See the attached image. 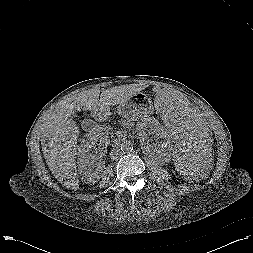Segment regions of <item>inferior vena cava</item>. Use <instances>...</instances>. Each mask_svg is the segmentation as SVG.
Returning a JSON list of instances; mask_svg holds the SVG:
<instances>
[{
	"instance_id": "1",
	"label": "inferior vena cava",
	"mask_w": 253,
	"mask_h": 253,
	"mask_svg": "<svg viewBox=\"0 0 253 253\" xmlns=\"http://www.w3.org/2000/svg\"><path fill=\"white\" fill-rule=\"evenodd\" d=\"M95 132H98V130L95 131ZM122 154H123V152H122V150L120 149L119 146H116L115 148H113L111 150V155H112L113 158H118V157L122 156Z\"/></svg>"
}]
</instances>
